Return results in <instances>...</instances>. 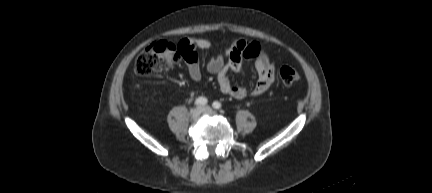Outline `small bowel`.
<instances>
[{
	"mask_svg": "<svg viewBox=\"0 0 432 193\" xmlns=\"http://www.w3.org/2000/svg\"><path fill=\"white\" fill-rule=\"evenodd\" d=\"M211 48V41L204 38L189 37L179 42L178 50L186 63L189 77L193 82H199L202 78L196 51L198 49L209 50ZM225 55L228 57L226 62L223 55H218L211 57L206 63L207 70L216 75L217 83L222 93L236 99H242L248 95L257 97L263 95L274 83V63L257 42L238 40L226 49ZM244 59L254 62L258 74L257 82L251 92H248L243 86L232 85L229 80V72L239 73Z\"/></svg>",
	"mask_w": 432,
	"mask_h": 193,
	"instance_id": "1",
	"label": "small bowel"
}]
</instances>
